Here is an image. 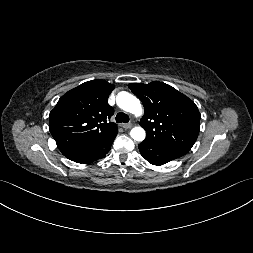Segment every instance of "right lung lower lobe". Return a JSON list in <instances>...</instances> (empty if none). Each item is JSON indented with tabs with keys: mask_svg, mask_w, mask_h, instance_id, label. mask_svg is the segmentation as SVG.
<instances>
[{
	"mask_svg": "<svg viewBox=\"0 0 253 253\" xmlns=\"http://www.w3.org/2000/svg\"><path fill=\"white\" fill-rule=\"evenodd\" d=\"M117 133L105 137L93 144L81 147L65 156L77 163H92L100 158H104L109 152Z\"/></svg>",
	"mask_w": 253,
	"mask_h": 253,
	"instance_id": "98d812e1",
	"label": "right lung lower lobe"
}]
</instances>
